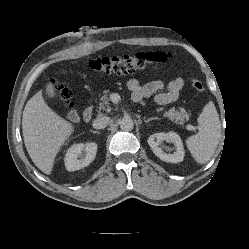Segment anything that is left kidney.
I'll return each mask as SVG.
<instances>
[{"instance_id": "5707ae66", "label": "left kidney", "mask_w": 249, "mask_h": 249, "mask_svg": "<svg viewBox=\"0 0 249 249\" xmlns=\"http://www.w3.org/2000/svg\"><path fill=\"white\" fill-rule=\"evenodd\" d=\"M163 141L171 142L175 145V152L172 154L165 153L160 147ZM153 153L161 160L171 163H179L184 159V148L180 136L175 132L168 133H155L151 135L147 140Z\"/></svg>"}]
</instances>
